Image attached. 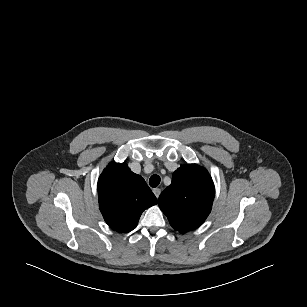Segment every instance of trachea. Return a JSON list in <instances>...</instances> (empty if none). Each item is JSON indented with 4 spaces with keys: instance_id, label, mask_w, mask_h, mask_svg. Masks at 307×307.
Returning a JSON list of instances; mask_svg holds the SVG:
<instances>
[{
    "instance_id": "1",
    "label": "trachea",
    "mask_w": 307,
    "mask_h": 307,
    "mask_svg": "<svg viewBox=\"0 0 307 307\" xmlns=\"http://www.w3.org/2000/svg\"><path fill=\"white\" fill-rule=\"evenodd\" d=\"M161 178L159 175H152L149 179V184L151 187H157L160 184Z\"/></svg>"
}]
</instances>
